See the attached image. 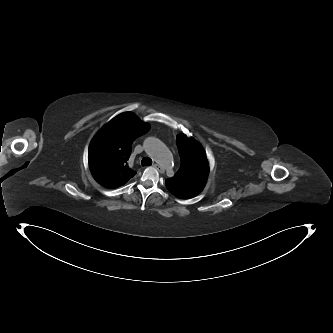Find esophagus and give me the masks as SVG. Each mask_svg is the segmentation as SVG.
<instances>
[{
    "instance_id": "1",
    "label": "esophagus",
    "mask_w": 333,
    "mask_h": 333,
    "mask_svg": "<svg viewBox=\"0 0 333 333\" xmlns=\"http://www.w3.org/2000/svg\"><path fill=\"white\" fill-rule=\"evenodd\" d=\"M153 167L157 169L158 171L162 172V169L158 163H153Z\"/></svg>"
}]
</instances>
